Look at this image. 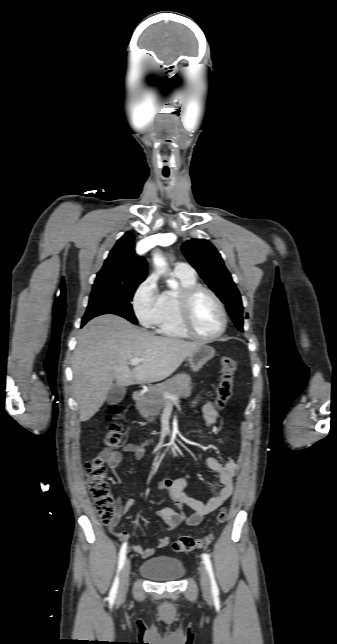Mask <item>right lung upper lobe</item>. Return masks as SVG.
I'll use <instances>...</instances> for the list:
<instances>
[{
	"label": "right lung upper lobe",
	"mask_w": 337,
	"mask_h": 644,
	"mask_svg": "<svg viewBox=\"0 0 337 644\" xmlns=\"http://www.w3.org/2000/svg\"><path fill=\"white\" fill-rule=\"evenodd\" d=\"M146 276L147 262L135 255L134 235L126 232L110 251L94 284L137 283L144 281Z\"/></svg>",
	"instance_id": "right-lung-upper-lobe-1"
}]
</instances>
